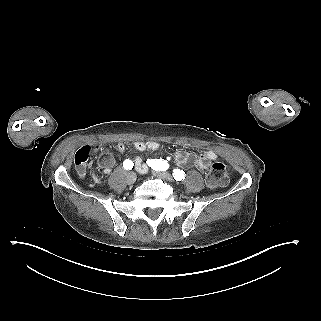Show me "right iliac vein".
<instances>
[{"label":"right iliac vein","instance_id":"right-iliac-vein-1","mask_svg":"<svg viewBox=\"0 0 321 321\" xmlns=\"http://www.w3.org/2000/svg\"><path fill=\"white\" fill-rule=\"evenodd\" d=\"M137 179V175L134 172H130L127 175V183L128 184H134Z\"/></svg>","mask_w":321,"mask_h":321}]
</instances>
